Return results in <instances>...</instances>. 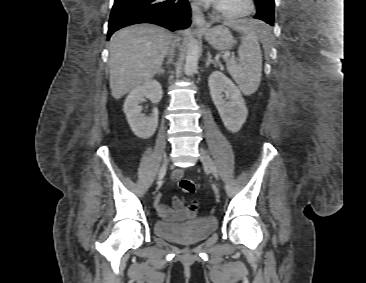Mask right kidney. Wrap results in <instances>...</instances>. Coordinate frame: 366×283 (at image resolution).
Here are the masks:
<instances>
[{
    "label": "right kidney",
    "instance_id": "1",
    "mask_svg": "<svg viewBox=\"0 0 366 283\" xmlns=\"http://www.w3.org/2000/svg\"><path fill=\"white\" fill-rule=\"evenodd\" d=\"M162 94L161 84L156 80H148L135 87L126 97L123 111L131 130L137 137L150 138L158 126V109L155 107L150 116H145L141 113L140 103L149 99L152 103L157 104L161 100Z\"/></svg>",
    "mask_w": 366,
    "mask_h": 283
}]
</instances>
